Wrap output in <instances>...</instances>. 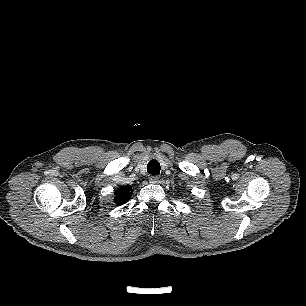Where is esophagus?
<instances>
[{
    "label": "esophagus",
    "instance_id": "esophagus-1",
    "mask_svg": "<svg viewBox=\"0 0 306 306\" xmlns=\"http://www.w3.org/2000/svg\"><path fill=\"white\" fill-rule=\"evenodd\" d=\"M149 182H150V183L156 184V183L159 182V177L156 176V175H151V176L149 177Z\"/></svg>",
    "mask_w": 306,
    "mask_h": 306
}]
</instances>
